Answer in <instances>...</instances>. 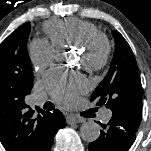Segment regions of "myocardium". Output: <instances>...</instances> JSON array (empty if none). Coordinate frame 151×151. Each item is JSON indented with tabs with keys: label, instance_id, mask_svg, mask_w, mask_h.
Segmentation results:
<instances>
[{
	"label": "myocardium",
	"instance_id": "f54148a6",
	"mask_svg": "<svg viewBox=\"0 0 151 151\" xmlns=\"http://www.w3.org/2000/svg\"><path fill=\"white\" fill-rule=\"evenodd\" d=\"M83 56L82 65L90 72L103 70L111 57L109 40L102 33L92 35L86 42L79 46Z\"/></svg>",
	"mask_w": 151,
	"mask_h": 151
}]
</instances>
